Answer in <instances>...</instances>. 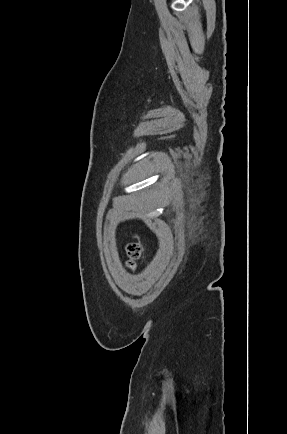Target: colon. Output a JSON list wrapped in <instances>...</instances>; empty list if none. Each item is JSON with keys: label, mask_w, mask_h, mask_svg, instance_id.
<instances>
[{"label": "colon", "mask_w": 287, "mask_h": 434, "mask_svg": "<svg viewBox=\"0 0 287 434\" xmlns=\"http://www.w3.org/2000/svg\"><path fill=\"white\" fill-rule=\"evenodd\" d=\"M127 252L130 257L129 266L135 267V260L140 257L141 254V245L138 242H131L127 246Z\"/></svg>", "instance_id": "5ec220e1"}]
</instances>
